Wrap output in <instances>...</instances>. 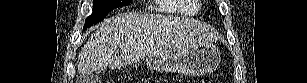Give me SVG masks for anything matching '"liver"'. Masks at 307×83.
I'll list each match as a JSON object with an SVG mask.
<instances>
[{
  "label": "liver",
  "instance_id": "1",
  "mask_svg": "<svg viewBox=\"0 0 307 83\" xmlns=\"http://www.w3.org/2000/svg\"><path fill=\"white\" fill-rule=\"evenodd\" d=\"M217 32L200 21L125 13L104 20L78 57V72L121 68L145 56L169 55L197 44L211 43ZM120 49V56L116 55Z\"/></svg>",
  "mask_w": 307,
  "mask_h": 83
}]
</instances>
